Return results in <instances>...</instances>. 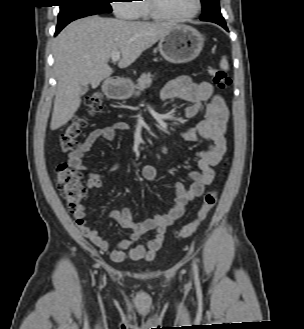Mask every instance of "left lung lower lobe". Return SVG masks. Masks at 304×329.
I'll list each match as a JSON object with an SVG mask.
<instances>
[{
  "label": "left lung lower lobe",
  "instance_id": "1",
  "mask_svg": "<svg viewBox=\"0 0 304 329\" xmlns=\"http://www.w3.org/2000/svg\"><path fill=\"white\" fill-rule=\"evenodd\" d=\"M202 21H209L216 23L222 26L224 29H227L225 20L220 13L219 2L213 3L209 8L203 10L202 16L200 17Z\"/></svg>",
  "mask_w": 304,
  "mask_h": 329
}]
</instances>
